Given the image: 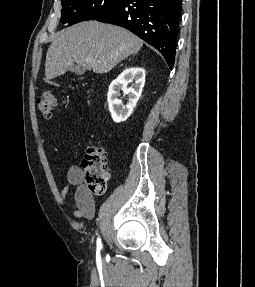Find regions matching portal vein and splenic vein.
Returning <instances> with one entry per match:
<instances>
[{
    "label": "portal vein and splenic vein",
    "mask_w": 255,
    "mask_h": 287,
    "mask_svg": "<svg viewBox=\"0 0 255 287\" xmlns=\"http://www.w3.org/2000/svg\"><path fill=\"white\" fill-rule=\"evenodd\" d=\"M88 60H92V58H88Z\"/></svg>",
    "instance_id": "portal-vein-and-splenic-vein-1"
}]
</instances>
